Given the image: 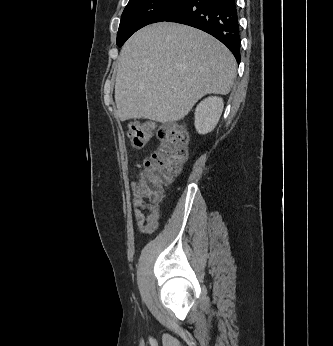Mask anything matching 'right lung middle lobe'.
I'll return each instance as SVG.
<instances>
[{
  "label": "right lung middle lobe",
  "instance_id": "dd1d6c3e",
  "mask_svg": "<svg viewBox=\"0 0 333 346\" xmlns=\"http://www.w3.org/2000/svg\"><path fill=\"white\" fill-rule=\"evenodd\" d=\"M184 0H129L124 9L117 34V45L140 28L164 21Z\"/></svg>",
  "mask_w": 333,
  "mask_h": 346
}]
</instances>
